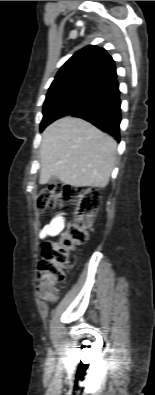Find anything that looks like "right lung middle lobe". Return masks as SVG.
Masks as SVG:
<instances>
[{
	"label": "right lung middle lobe",
	"mask_w": 155,
	"mask_h": 395,
	"mask_svg": "<svg viewBox=\"0 0 155 395\" xmlns=\"http://www.w3.org/2000/svg\"><path fill=\"white\" fill-rule=\"evenodd\" d=\"M103 88L97 85L71 82L49 88L43 106L41 130L58 118L70 114L89 102Z\"/></svg>",
	"instance_id": "dd1d6c3e"
}]
</instances>
